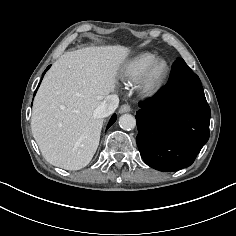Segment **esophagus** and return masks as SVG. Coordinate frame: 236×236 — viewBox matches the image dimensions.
<instances>
[{
	"label": "esophagus",
	"mask_w": 236,
	"mask_h": 236,
	"mask_svg": "<svg viewBox=\"0 0 236 236\" xmlns=\"http://www.w3.org/2000/svg\"><path fill=\"white\" fill-rule=\"evenodd\" d=\"M131 111V107L128 104H124L119 108V113H126V112H130Z\"/></svg>",
	"instance_id": "1"
}]
</instances>
